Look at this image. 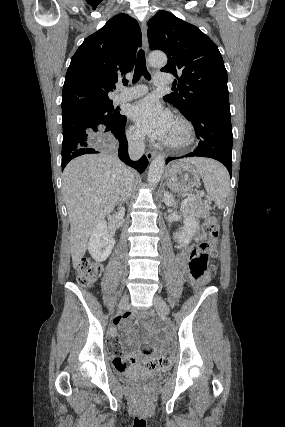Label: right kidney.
<instances>
[{
    "instance_id": "right-kidney-1",
    "label": "right kidney",
    "mask_w": 285,
    "mask_h": 427,
    "mask_svg": "<svg viewBox=\"0 0 285 427\" xmlns=\"http://www.w3.org/2000/svg\"><path fill=\"white\" fill-rule=\"evenodd\" d=\"M124 215V208H120L119 213L115 216L116 220H120ZM115 244V240L109 235L107 223L101 220L93 230L89 243L88 251L92 258L97 262L105 261Z\"/></svg>"
}]
</instances>
